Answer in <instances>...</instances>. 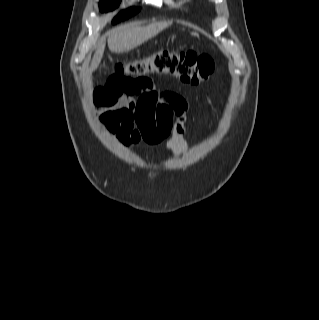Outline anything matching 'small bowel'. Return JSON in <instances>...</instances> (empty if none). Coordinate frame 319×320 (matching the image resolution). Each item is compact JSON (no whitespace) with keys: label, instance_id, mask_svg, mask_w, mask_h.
Returning <instances> with one entry per match:
<instances>
[{"label":"small bowel","instance_id":"obj_1","mask_svg":"<svg viewBox=\"0 0 319 320\" xmlns=\"http://www.w3.org/2000/svg\"><path fill=\"white\" fill-rule=\"evenodd\" d=\"M138 94V99L134 95ZM93 100L98 110L99 123L117 141L128 145L130 140L124 132V124L128 117L141 114H153L163 125L171 126V138L165 145V150L174 157H180L186 151L188 142L185 137V121L188 103L179 93L172 90L157 91L152 79H147L139 85L119 88L108 85L106 88H96Z\"/></svg>","mask_w":319,"mask_h":320}]
</instances>
